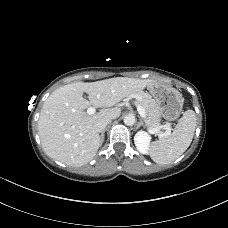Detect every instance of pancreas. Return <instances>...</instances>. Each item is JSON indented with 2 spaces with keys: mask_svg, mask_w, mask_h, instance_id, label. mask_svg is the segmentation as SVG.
Instances as JSON below:
<instances>
[{
  "mask_svg": "<svg viewBox=\"0 0 228 228\" xmlns=\"http://www.w3.org/2000/svg\"><path fill=\"white\" fill-rule=\"evenodd\" d=\"M135 103L137 105H141L144 108L146 125L148 126V128L150 130L158 129L161 126V118L160 114L157 111L155 103L145 94H140V99H138Z\"/></svg>",
  "mask_w": 228,
  "mask_h": 228,
  "instance_id": "cf45deb5",
  "label": "pancreas"
}]
</instances>
